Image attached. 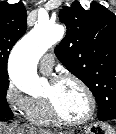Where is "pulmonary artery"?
Listing matches in <instances>:
<instances>
[{"label":"pulmonary artery","instance_id":"1","mask_svg":"<svg viewBox=\"0 0 116 134\" xmlns=\"http://www.w3.org/2000/svg\"><path fill=\"white\" fill-rule=\"evenodd\" d=\"M54 65V56L52 54H46L40 61V69L43 73L51 72Z\"/></svg>","mask_w":116,"mask_h":134}]
</instances>
